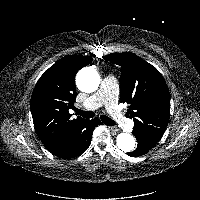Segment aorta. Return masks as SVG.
Segmentation results:
<instances>
[{
  "instance_id": "aorta-1",
  "label": "aorta",
  "mask_w": 200,
  "mask_h": 200,
  "mask_svg": "<svg viewBox=\"0 0 200 200\" xmlns=\"http://www.w3.org/2000/svg\"><path fill=\"white\" fill-rule=\"evenodd\" d=\"M78 88L86 93L94 92L100 84L98 72L92 67L82 68L76 77ZM118 148L123 152H131L135 148V139L129 133H120L116 138Z\"/></svg>"
}]
</instances>
